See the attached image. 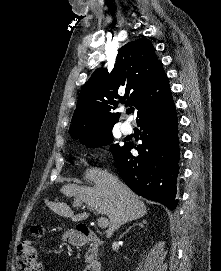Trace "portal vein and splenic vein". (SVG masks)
<instances>
[{"instance_id":"portal-vein-and-splenic-vein-1","label":"portal vein and splenic vein","mask_w":221,"mask_h":271,"mask_svg":"<svg viewBox=\"0 0 221 271\" xmlns=\"http://www.w3.org/2000/svg\"><path fill=\"white\" fill-rule=\"evenodd\" d=\"M97 223L99 227H107V225H109V219H107V217H98Z\"/></svg>"}]
</instances>
